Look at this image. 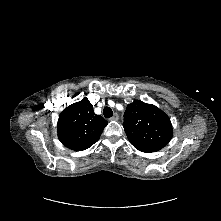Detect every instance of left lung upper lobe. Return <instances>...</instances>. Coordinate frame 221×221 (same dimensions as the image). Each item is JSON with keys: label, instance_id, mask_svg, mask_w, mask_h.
Here are the masks:
<instances>
[{"label": "left lung upper lobe", "instance_id": "1", "mask_svg": "<svg viewBox=\"0 0 221 221\" xmlns=\"http://www.w3.org/2000/svg\"><path fill=\"white\" fill-rule=\"evenodd\" d=\"M123 126L130 143L145 153L159 151L173 135L169 117L158 107L140 100L127 106Z\"/></svg>", "mask_w": 221, "mask_h": 221}]
</instances>
